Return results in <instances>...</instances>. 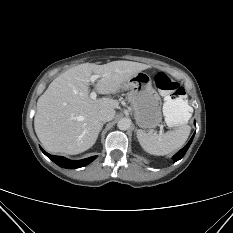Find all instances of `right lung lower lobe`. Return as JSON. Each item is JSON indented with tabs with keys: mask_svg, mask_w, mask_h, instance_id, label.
Returning a JSON list of instances; mask_svg holds the SVG:
<instances>
[{
	"mask_svg": "<svg viewBox=\"0 0 233 233\" xmlns=\"http://www.w3.org/2000/svg\"><path fill=\"white\" fill-rule=\"evenodd\" d=\"M41 150L48 158H50L57 165H59L60 167H63V168H67V169H76V168L86 166L89 163H91L94 159L97 158V156H92V157H89L87 159H83V160H79V161H70L62 156L50 155L47 152H45L42 148H41Z\"/></svg>",
	"mask_w": 233,
	"mask_h": 233,
	"instance_id": "98d812e1",
	"label": "right lung lower lobe"
}]
</instances>
